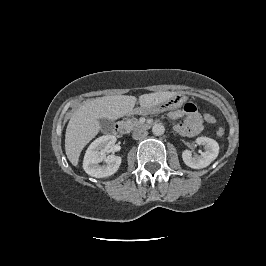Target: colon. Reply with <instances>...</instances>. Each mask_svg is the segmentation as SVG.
<instances>
[{
	"instance_id": "1",
	"label": "colon",
	"mask_w": 266,
	"mask_h": 266,
	"mask_svg": "<svg viewBox=\"0 0 266 266\" xmlns=\"http://www.w3.org/2000/svg\"><path fill=\"white\" fill-rule=\"evenodd\" d=\"M204 120L209 123V124H213L216 122V118L215 116H213L212 114H209V113H205L204 114ZM217 135L218 136H222L224 135V129L219 127L216 131Z\"/></svg>"
}]
</instances>
